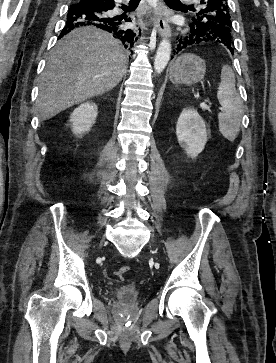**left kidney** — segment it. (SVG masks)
<instances>
[{"mask_svg":"<svg viewBox=\"0 0 276 363\" xmlns=\"http://www.w3.org/2000/svg\"><path fill=\"white\" fill-rule=\"evenodd\" d=\"M176 135L180 146L191 158L197 157L203 151L208 140L204 120L190 107L181 112L176 125Z\"/></svg>","mask_w":276,"mask_h":363,"instance_id":"1","label":"left kidney"}]
</instances>
